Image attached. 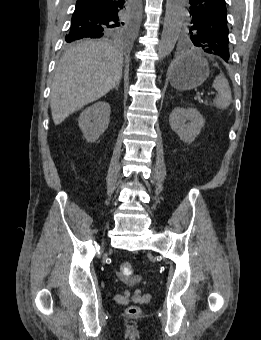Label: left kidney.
I'll return each instance as SVG.
<instances>
[{
  "label": "left kidney",
  "instance_id": "1",
  "mask_svg": "<svg viewBox=\"0 0 261 340\" xmlns=\"http://www.w3.org/2000/svg\"><path fill=\"white\" fill-rule=\"evenodd\" d=\"M169 124L183 142L192 143L204 127L205 119L195 108L176 107L169 116Z\"/></svg>",
  "mask_w": 261,
  "mask_h": 340
}]
</instances>
